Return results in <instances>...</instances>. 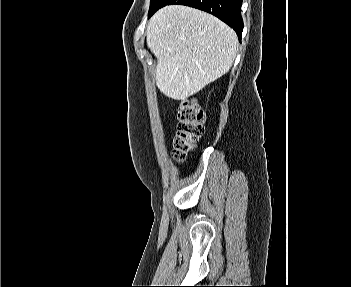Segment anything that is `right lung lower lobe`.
Returning a JSON list of instances; mask_svg holds the SVG:
<instances>
[{
    "label": "right lung lower lobe",
    "mask_w": 351,
    "mask_h": 287,
    "mask_svg": "<svg viewBox=\"0 0 351 287\" xmlns=\"http://www.w3.org/2000/svg\"><path fill=\"white\" fill-rule=\"evenodd\" d=\"M241 3L242 0H161L149 13V17L166 5L180 4L190 6L206 11L231 26L240 40L243 30Z\"/></svg>",
    "instance_id": "right-lung-lower-lobe-1"
}]
</instances>
